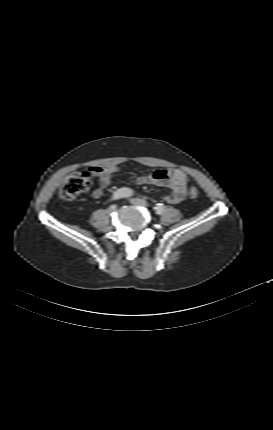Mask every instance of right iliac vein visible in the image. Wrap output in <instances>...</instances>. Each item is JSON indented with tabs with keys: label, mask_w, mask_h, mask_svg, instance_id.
<instances>
[{
	"label": "right iliac vein",
	"mask_w": 273,
	"mask_h": 430,
	"mask_svg": "<svg viewBox=\"0 0 273 430\" xmlns=\"http://www.w3.org/2000/svg\"><path fill=\"white\" fill-rule=\"evenodd\" d=\"M116 208H117V206H116V205H111V206L107 209V211H108L109 213H112V212H114V211L116 210Z\"/></svg>",
	"instance_id": "1"
}]
</instances>
